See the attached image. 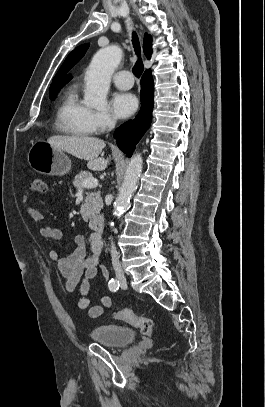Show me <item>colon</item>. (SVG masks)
<instances>
[{"label":"colon","instance_id":"5ec220e1","mask_svg":"<svg viewBox=\"0 0 265 407\" xmlns=\"http://www.w3.org/2000/svg\"><path fill=\"white\" fill-rule=\"evenodd\" d=\"M31 188L37 193L46 191V184L41 176H34L31 182ZM115 318L128 322L135 328H138L143 334L151 335L154 329V323L151 319L136 315L131 310L124 309L115 313Z\"/></svg>","mask_w":265,"mask_h":407}]
</instances>
